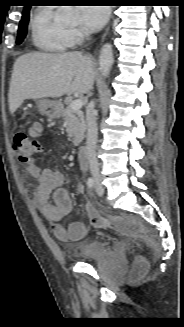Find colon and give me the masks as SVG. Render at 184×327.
<instances>
[{
  "instance_id": "obj_1",
  "label": "colon",
  "mask_w": 184,
  "mask_h": 327,
  "mask_svg": "<svg viewBox=\"0 0 184 327\" xmlns=\"http://www.w3.org/2000/svg\"><path fill=\"white\" fill-rule=\"evenodd\" d=\"M12 147L17 155V158L22 163H29L32 159L37 156L42 146L38 139L27 135L24 132H17L12 140ZM87 213L90 223L94 227H104L107 224V220L97 213L92 207H87ZM121 227L124 229H137V226H129L127 223H122ZM148 268L147 263L144 260H139L134 266V272L137 275H143L146 273Z\"/></svg>"
}]
</instances>
